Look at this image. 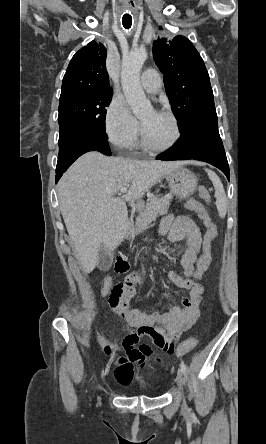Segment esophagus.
<instances>
[{
    "label": "esophagus",
    "mask_w": 266,
    "mask_h": 444,
    "mask_svg": "<svg viewBox=\"0 0 266 444\" xmlns=\"http://www.w3.org/2000/svg\"><path fill=\"white\" fill-rule=\"evenodd\" d=\"M130 8L135 11L136 10V4L134 3H130Z\"/></svg>",
    "instance_id": "34e87169"
}]
</instances>
